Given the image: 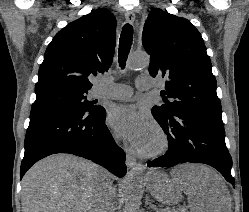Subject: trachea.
Listing matches in <instances>:
<instances>
[{"mask_svg": "<svg viewBox=\"0 0 249 212\" xmlns=\"http://www.w3.org/2000/svg\"><path fill=\"white\" fill-rule=\"evenodd\" d=\"M133 27L126 23L119 40V65L124 68L132 45Z\"/></svg>", "mask_w": 249, "mask_h": 212, "instance_id": "3493384b", "label": "trachea"}]
</instances>
